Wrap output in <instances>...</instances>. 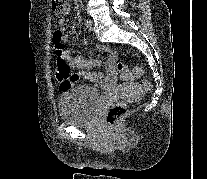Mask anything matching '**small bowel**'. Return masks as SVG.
<instances>
[{
  "label": "small bowel",
  "mask_w": 207,
  "mask_h": 179,
  "mask_svg": "<svg viewBox=\"0 0 207 179\" xmlns=\"http://www.w3.org/2000/svg\"><path fill=\"white\" fill-rule=\"evenodd\" d=\"M70 12V6L68 5L67 14ZM65 22V17H60L58 23L63 25ZM59 30L64 33L65 29L63 27ZM96 49L107 55L106 61V75L100 71H91L92 68L100 66V61L97 59H85L82 57H71L69 53L64 52L65 58L68 60L69 66L71 68L78 67L79 70L73 75L77 77L78 81L84 80L94 84L96 88L102 90H108L116 85L117 83V60L118 54L116 51L103 46L101 44L96 45ZM77 81V82H78Z\"/></svg>",
  "instance_id": "small-bowel-1"
}]
</instances>
